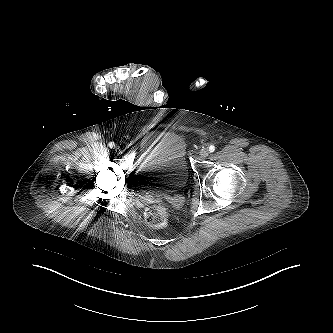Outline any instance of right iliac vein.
Masks as SVG:
<instances>
[{
    "label": "right iliac vein",
    "mask_w": 333,
    "mask_h": 333,
    "mask_svg": "<svg viewBox=\"0 0 333 333\" xmlns=\"http://www.w3.org/2000/svg\"><path fill=\"white\" fill-rule=\"evenodd\" d=\"M121 152V147H116L115 148V153H120Z\"/></svg>",
    "instance_id": "obj_1"
}]
</instances>
